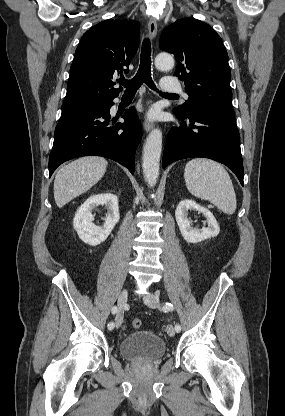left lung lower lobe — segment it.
<instances>
[{"instance_id":"left-lung-lower-lobe-1","label":"left lung lower lobe","mask_w":285,"mask_h":416,"mask_svg":"<svg viewBox=\"0 0 285 416\" xmlns=\"http://www.w3.org/2000/svg\"><path fill=\"white\" fill-rule=\"evenodd\" d=\"M178 118L182 122L168 134L162 167L185 158H209L228 166L243 186L240 135L233 111L199 110Z\"/></svg>"}]
</instances>
